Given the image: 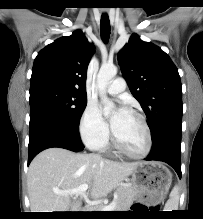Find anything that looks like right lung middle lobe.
<instances>
[{
    "instance_id": "1",
    "label": "right lung middle lobe",
    "mask_w": 203,
    "mask_h": 219,
    "mask_svg": "<svg viewBox=\"0 0 203 219\" xmlns=\"http://www.w3.org/2000/svg\"><path fill=\"white\" fill-rule=\"evenodd\" d=\"M30 118L40 117L54 125L78 130L87 96L58 84L30 85Z\"/></svg>"
}]
</instances>
